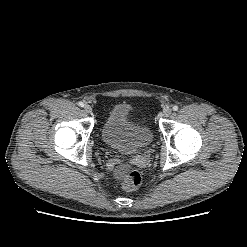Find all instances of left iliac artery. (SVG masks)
<instances>
[{
	"mask_svg": "<svg viewBox=\"0 0 247 247\" xmlns=\"http://www.w3.org/2000/svg\"><path fill=\"white\" fill-rule=\"evenodd\" d=\"M173 110L177 111L178 110V106L177 105L173 106Z\"/></svg>",
	"mask_w": 247,
	"mask_h": 247,
	"instance_id": "left-iliac-artery-1",
	"label": "left iliac artery"
}]
</instances>
